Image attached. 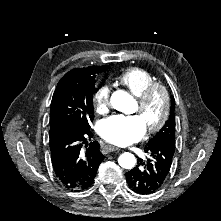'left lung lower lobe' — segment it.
Here are the masks:
<instances>
[{
	"label": "left lung lower lobe",
	"mask_w": 221,
	"mask_h": 221,
	"mask_svg": "<svg viewBox=\"0 0 221 221\" xmlns=\"http://www.w3.org/2000/svg\"><path fill=\"white\" fill-rule=\"evenodd\" d=\"M152 159L144 163L138 160V165L126 173L129 187L138 194H151L159 190L165 183L175 152V144L162 141L145 149Z\"/></svg>",
	"instance_id": "1"
}]
</instances>
